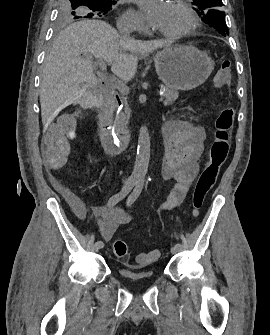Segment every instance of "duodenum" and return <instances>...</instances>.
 <instances>
[{
    "mask_svg": "<svg viewBox=\"0 0 270 335\" xmlns=\"http://www.w3.org/2000/svg\"><path fill=\"white\" fill-rule=\"evenodd\" d=\"M116 108V98L110 94V97L104 103L100 118L99 130L103 148L110 154H118L124 151L130 145V138L118 137L112 128L113 114Z\"/></svg>",
    "mask_w": 270,
    "mask_h": 335,
    "instance_id": "obj_1",
    "label": "duodenum"
}]
</instances>
